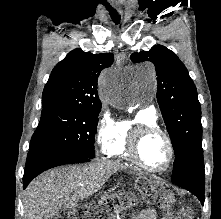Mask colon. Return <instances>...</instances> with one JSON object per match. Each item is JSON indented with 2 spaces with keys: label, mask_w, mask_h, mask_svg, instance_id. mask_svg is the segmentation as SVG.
<instances>
[{
  "label": "colon",
  "mask_w": 221,
  "mask_h": 219,
  "mask_svg": "<svg viewBox=\"0 0 221 219\" xmlns=\"http://www.w3.org/2000/svg\"><path fill=\"white\" fill-rule=\"evenodd\" d=\"M116 195H109L98 205L77 207L60 213L56 219H106L110 207L116 201ZM165 219H196L190 208H181L174 215Z\"/></svg>",
  "instance_id": "colon-1"
}]
</instances>
